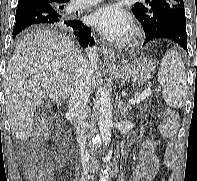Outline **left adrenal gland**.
<instances>
[{
	"label": "left adrenal gland",
	"instance_id": "a2214340",
	"mask_svg": "<svg viewBox=\"0 0 197 181\" xmlns=\"http://www.w3.org/2000/svg\"><path fill=\"white\" fill-rule=\"evenodd\" d=\"M131 106L125 103H122L121 98L118 99V110L124 117L131 111Z\"/></svg>",
	"mask_w": 197,
	"mask_h": 181
}]
</instances>
